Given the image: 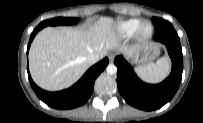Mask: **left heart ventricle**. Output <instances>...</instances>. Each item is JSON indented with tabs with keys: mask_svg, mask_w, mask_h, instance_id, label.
Returning <instances> with one entry per match:
<instances>
[{
	"mask_svg": "<svg viewBox=\"0 0 203 123\" xmlns=\"http://www.w3.org/2000/svg\"><path fill=\"white\" fill-rule=\"evenodd\" d=\"M149 30H150V26H149V25H145V26L143 27V29H142V32H143L144 34H147V33L149 32Z\"/></svg>",
	"mask_w": 203,
	"mask_h": 123,
	"instance_id": "obj_1",
	"label": "left heart ventricle"
}]
</instances>
